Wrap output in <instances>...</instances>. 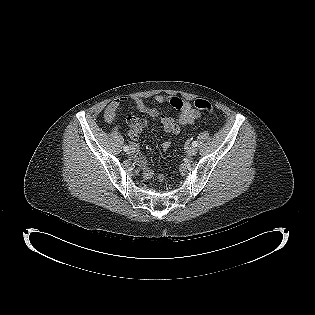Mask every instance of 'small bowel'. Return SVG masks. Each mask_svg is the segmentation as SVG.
Here are the masks:
<instances>
[{
	"label": "small bowel",
	"mask_w": 315,
	"mask_h": 315,
	"mask_svg": "<svg viewBox=\"0 0 315 315\" xmlns=\"http://www.w3.org/2000/svg\"><path fill=\"white\" fill-rule=\"evenodd\" d=\"M153 99L157 103H168L178 113L176 118L168 117L159 114L158 110L146 105L143 98H118L111 101L105 109L104 119L109 124L116 122V113L121 103L131 101L135 104L137 110L151 118H160V126L165 133L177 134L180 128L193 124L201 117V113L198 109L192 107L191 102L187 99L180 98L174 95L157 94L153 96ZM146 126L144 120L141 121V125L134 134L129 133L131 138H136L142 129ZM170 147V142H165L162 145V150L166 151ZM136 152V148L133 147ZM134 159L136 163L143 167V178L145 180L151 179L153 172L149 166H147L146 160L141 153L136 152Z\"/></svg>",
	"instance_id": "obj_1"
}]
</instances>
